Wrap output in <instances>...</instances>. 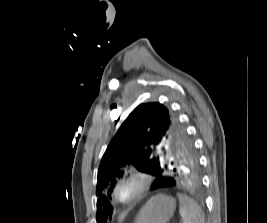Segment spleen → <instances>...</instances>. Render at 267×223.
<instances>
[{"label":"spleen","mask_w":267,"mask_h":223,"mask_svg":"<svg viewBox=\"0 0 267 223\" xmlns=\"http://www.w3.org/2000/svg\"><path fill=\"white\" fill-rule=\"evenodd\" d=\"M179 212L183 219V223H205L204 214L200 206L187 195L178 194Z\"/></svg>","instance_id":"1"}]
</instances>
